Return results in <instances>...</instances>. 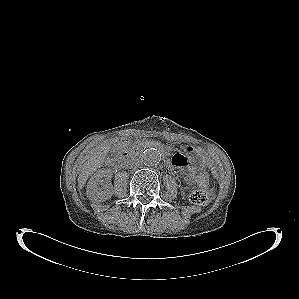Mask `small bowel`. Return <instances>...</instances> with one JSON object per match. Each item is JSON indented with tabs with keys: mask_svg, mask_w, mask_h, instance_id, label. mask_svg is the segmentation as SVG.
Here are the masks:
<instances>
[{
	"mask_svg": "<svg viewBox=\"0 0 299 299\" xmlns=\"http://www.w3.org/2000/svg\"><path fill=\"white\" fill-rule=\"evenodd\" d=\"M170 166L179 169L184 177V180L186 183L191 184L194 182V173L193 171L188 167V163L186 158L181 154H175L170 159Z\"/></svg>",
	"mask_w": 299,
	"mask_h": 299,
	"instance_id": "small-bowel-1",
	"label": "small bowel"
}]
</instances>
